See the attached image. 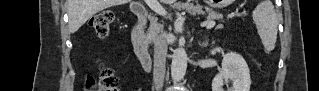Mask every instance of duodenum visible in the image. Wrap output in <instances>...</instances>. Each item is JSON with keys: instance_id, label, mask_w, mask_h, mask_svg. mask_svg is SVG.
<instances>
[{"instance_id": "1", "label": "duodenum", "mask_w": 319, "mask_h": 91, "mask_svg": "<svg viewBox=\"0 0 319 91\" xmlns=\"http://www.w3.org/2000/svg\"><path fill=\"white\" fill-rule=\"evenodd\" d=\"M133 13L136 16V22L132 29V43L135 55L146 71L152 69V57L147 48L145 36V25L148 20V10L142 4L133 6Z\"/></svg>"}]
</instances>
